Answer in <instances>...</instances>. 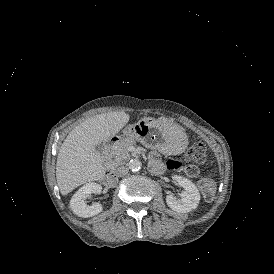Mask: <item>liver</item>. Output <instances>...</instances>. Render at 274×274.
<instances>
[{
	"mask_svg": "<svg viewBox=\"0 0 274 274\" xmlns=\"http://www.w3.org/2000/svg\"><path fill=\"white\" fill-rule=\"evenodd\" d=\"M123 112H108L91 117L76 126L58 153L56 179L62 195L105 175L103 158L96 146L114 137L129 121Z\"/></svg>",
	"mask_w": 274,
	"mask_h": 274,
	"instance_id": "1",
	"label": "liver"
}]
</instances>
